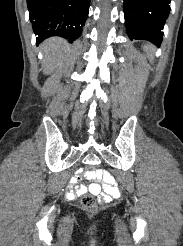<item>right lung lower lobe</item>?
<instances>
[{
	"label": "right lung lower lobe",
	"mask_w": 183,
	"mask_h": 246,
	"mask_svg": "<svg viewBox=\"0 0 183 246\" xmlns=\"http://www.w3.org/2000/svg\"><path fill=\"white\" fill-rule=\"evenodd\" d=\"M89 4L90 0H27L37 44L51 36L70 43L76 40L88 17Z\"/></svg>",
	"instance_id": "right-lung-lower-lobe-1"
}]
</instances>
